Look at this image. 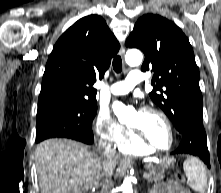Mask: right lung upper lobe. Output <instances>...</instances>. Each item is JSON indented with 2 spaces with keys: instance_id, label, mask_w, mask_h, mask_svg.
Segmentation results:
<instances>
[{
  "instance_id": "right-lung-upper-lobe-1",
  "label": "right lung upper lobe",
  "mask_w": 221,
  "mask_h": 193,
  "mask_svg": "<svg viewBox=\"0 0 221 193\" xmlns=\"http://www.w3.org/2000/svg\"><path fill=\"white\" fill-rule=\"evenodd\" d=\"M119 43L98 15L74 23L56 42L43 75L38 107L46 105L96 104L92 87L104 77Z\"/></svg>"
}]
</instances>
